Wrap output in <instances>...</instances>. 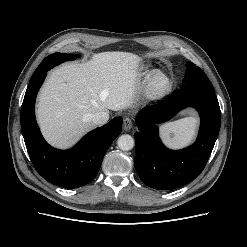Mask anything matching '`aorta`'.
Returning a JSON list of instances; mask_svg holds the SVG:
<instances>
[{"instance_id": "1", "label": "aorta", "mask_w": 247, "mask_h": 247, "mask_svg": "<svg viewBox=\"0 0 247 247\" xmlns=\"http://www.w3.org/2000/svg\"><path fill=\"white\" fill-rule=\"evenodd\" d=\"M135 141L132 136L128 134L121 135L117 140L119 149L123 151H129L134 147Z\"/></svg>"}]
</instances>
